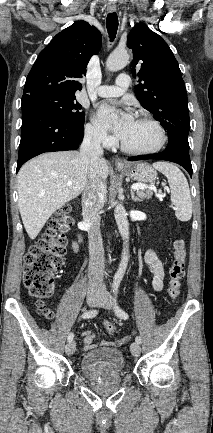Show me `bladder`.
Returning <instances> with one entry per match:
<instances>
[{
	"instance_id": "obj_1",
	"label": "bladder",
	"mask_w": 213,
	"mask_h": 433,
	"mask_svg": "<svg viewBox=\"0 0 213 433\" xmlns=\"http://www.w3.org/2000/svg\"><path fill=\"white\" fill-rule=\"evenodd\" d=\"M124 368L123 352L117 348H97L85 353L80 360V370L88 377L118 375Z\"/></svg>"
}]
</instances>
